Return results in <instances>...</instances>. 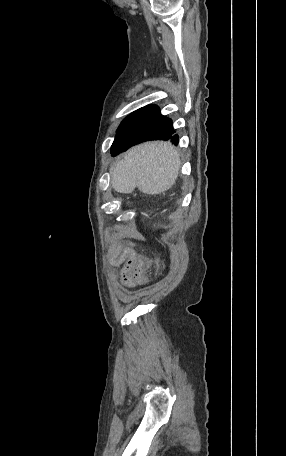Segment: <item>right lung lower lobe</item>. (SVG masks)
Wrapping results in <instances>:
<instances>
[{"label":"right lung lower lobe","mask_w":286,"mask_h":456,"mask_svg":"<svg viewBox=\"0 0 286 456\" xmlns=\"http://www.w3.org/2000/svg\"><path fill=\"white\" fill-rule=\"evenodd\" d=\"M124 135L122 142L113 150L112 156L127 150L129 147L147 140H170L178 144L179 137L175 134L172 120L161 115L159 107L148 105L131 113L124 119Z\"/></svg>","instance_id":"right-lung-lower-lobe-1"}]
</instances>
